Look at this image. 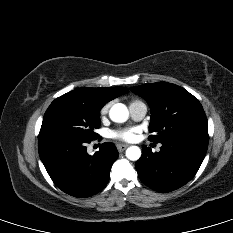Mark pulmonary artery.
Masks as SVG:
<instances>
[{
    "instance_id": "pulmonary-artery-1",
    "label": "pulmonary artery",
    "mask_w": 233,
    "mask_h": 233,
    "mask_svg": "<svg viewBox=\"0 0 233 233\" xmlns=\"http://www.w3.org/2000/svg\"><path fill=\"white\" fill-rule=\"evenodd\" d=\"M129 111L135 121H140L147 113V106L141 101H134L129 105Z\"/></svg>"
}]
</instances>
